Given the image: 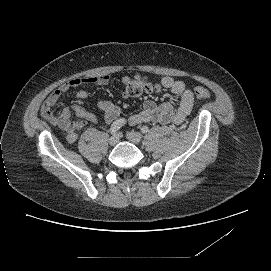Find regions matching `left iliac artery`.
Instances as JSON below:
<instances>
[{
    "instance_id": "left-iliac-artery-1",
    "label": "left iliac artery",
    "mask_w": 271,
    "mask_h": 271,
    "mask_svg": "<svg viewBox=\"0 0 271 271\" xmlns=\"http://www.w3.org/2000/svg\"><path fill=\"white\" fill-rule=\"evenodd\" d=\"M141 132L144 133V134H146V133L149 132V128H148L147 126H143V127L141 128Z\"/></svg>"
}]
</instances>
